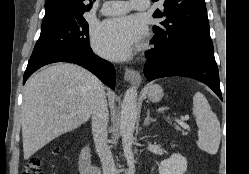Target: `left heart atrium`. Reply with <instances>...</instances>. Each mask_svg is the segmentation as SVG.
<instances>
[{"instance_id":"1","label":"left heart atrium","mask_w":249,"mask_h":174,"mask_svg":"<svg viewBox=\"0 0 249 174\" xmlns=\"http://www.w3.org/2000/svg\"><path fill=\"white\" fill-rule=\"evenodd\" d=\"M143 32L144 24L136 16L107 19L95 29L93 46L106 58L124 60L131 56Z\"/></svg>"}]
</instances>
